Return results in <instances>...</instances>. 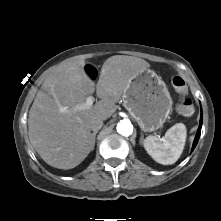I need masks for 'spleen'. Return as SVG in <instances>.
Returning a JSON list of instances; mask_svg holds the SVG:
<instances>
[{"label": "spleen", "mask_w": 221, "mask_h": 221, "mask_svg": "<svg viewBox=\"0 0 221 221\" xmlns=\"http://www.w3.org/2000/svg\"><path fill=\"white\" fill-rule=\"evenodd\" d=\"M186 127L177 123L167 130L161 140L156 136H148L143 145L147 153L158 163L163 165L174 164L181 156L186 142Z\"/></svg>", "instance_id": "1"}]
</instances>
